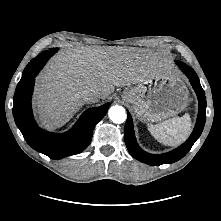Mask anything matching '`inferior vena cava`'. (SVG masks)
<instances>
[{
	"instance_id": "602c4592",
	"label": "inferior vena cava",
	"mask_w": 221,
	"mask_h": 221,
	"mask_svg": "<svg viewBox=\"0 0 221 221\" xmlns=\"http://www.w3.org/2000/svg\"><path fill=\"white\" fill-rule=\"evenodd\" d=\"M82 97L86 103H95L99 99V92L89 89L83 92Z\"/></svg>"
}]
</instances>
